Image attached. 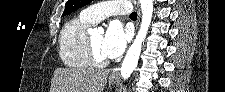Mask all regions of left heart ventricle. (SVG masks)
<instances>
[{
    "instance_id": "left-heart-ventricle-1",
    "label": "left heart ventricle",
    "mask_w": 225,
    "mask_h": 92,
    "mask_svg": "<svg viewBox=\"0 0 225 92\" xmlns=\"http://www.w3.org/2000/svg\"><path fill=\"white\" fill-rule=\"evenodd\" d=\"M92 45L100 58L106 59L102 53L103 34H95L90 37Z\"/></svg>"
}]
</instances>
